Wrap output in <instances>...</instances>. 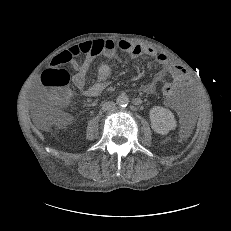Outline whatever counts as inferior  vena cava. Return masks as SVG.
I'll use <instances>...</instances> for the list:
<instances>
[{
    "label": "inferior vena cava",
    "mask_w": 231,
    "mask_h": 231,
    "mask_svg": "<svg viewBox=\"0 0 231 231\" xmlns=\"http://www.w3.org/2000/svg\"><path fill=\"white\" fill-rule=\"evenodd\" d=\"M114 108H115V103L112 101L105 102L102 105V110L104 111H110L113 110Z\"/></svg>",
    "instance_id": "1"
}]
</instances>
